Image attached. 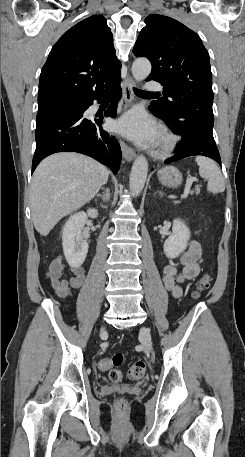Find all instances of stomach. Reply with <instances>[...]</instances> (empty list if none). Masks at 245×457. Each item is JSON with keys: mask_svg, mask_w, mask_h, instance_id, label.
<instances>
[{"mask_svg": "<svg viewBox=\"0 0 245 457\" xmlns=\"http://www.w3.org/2000/svg\"><path fill=\"white\" fill-rule=\"evenodd\" d=\"M158 178L164 186H179L183 180L182 172L176 166H163L158 170Z\"/></svg>", "mask_w": 245, "mask_h": 457, "instance_id": "1", "label": "stomach"}]
</instances>
